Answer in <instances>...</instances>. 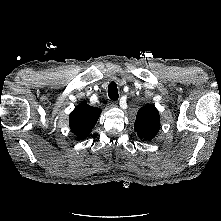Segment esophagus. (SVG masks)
Instances as JSON below:
<instances>
[{
	"label": "esophagus",
	"mask_w": 221,
	"mask_h": 221,
	"mask_svg": "<svg viewBox=\"0 0 221 221\" xmlns=\"http://www.w3.org/2000/svg\"><path fill=\"white\" fill-rule=\"evenodd\" d=\"M110 106H111V107H115V106H117V103H116V102H111V103H110Z\"/></svg>",
	"instance_id": "34e87169"
}]
</instances>
